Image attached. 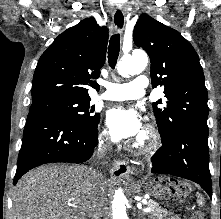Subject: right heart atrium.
Here are the masks:
<instances>
[{
	"label": "right heart atrium",
	"instance_id": "1",
	"mask_svg": "<svg viewBox=\"0 0 221 219\" xmlns=\"http://www.w3.org/2000/svg\"><path fill=\"white\" fill-rule=\"evenodd\" d=\"M105 136H106V133H105V132H102L101 135H100V137H101L102 139H105Z\"/></svg>",
	"mask_w": 221,
	"mask_h": 219
}]
</instances>
